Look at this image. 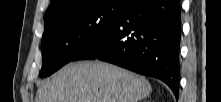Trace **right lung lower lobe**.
<instances>
[{"mask_svg": "<svg viewBox=\"0 0 221 102\" xmlns=\"http://www.w3.org/2000/svg\"><path fill=\"white\" fill-rule=\"evenodd\" d=\"M178 0H129L119 20L73 59H99L165 82L179 96Z\"/></svg>", "mask_w": 221, "mask_h": 102, "instance_id": "obj_1", "label": "right lung lower lobe"}]
</instances>
